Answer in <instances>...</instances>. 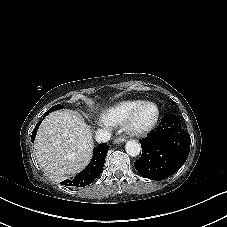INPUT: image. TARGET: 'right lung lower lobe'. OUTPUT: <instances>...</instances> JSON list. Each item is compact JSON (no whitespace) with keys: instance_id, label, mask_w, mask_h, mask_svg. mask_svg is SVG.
Masks as SVG:
<instances>
[{"instance_id":"right-lung-lower-lobe-1","label":"right lung lower lobe","mask_w":227,"mask_h":227,"mask_svg":"<svg viewBox=\"0 0 227 227\" xmlns=\"http://www.w3.org/2000/svg\"><path fill=\"white\" fill-rule=\"evenodd\" d=\"M45 117V116H44ZM40 123H37L35 126L31 141L34 142L36 132L40 126ZM109 146L106 143H103L97 146L93 151V158L87 168H85L78 176L74 179H67L61 182L62 185L71 186V187H84L92 183L102 172L106 155L108 153Z\"/></svg>"}]
</instances>
